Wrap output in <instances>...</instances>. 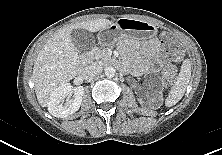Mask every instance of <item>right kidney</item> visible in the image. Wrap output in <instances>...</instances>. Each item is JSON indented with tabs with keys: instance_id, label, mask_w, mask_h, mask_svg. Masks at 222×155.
Listing matches in <instances>:
<instances>
[{
	"instance_id": "right-kidney-1",
	"label": "right kidney",
	"mask_w": 222,
	"mask_h": 155,
	"mask_svg": "<svg viewBox=\"0 0 222 155\" xmlns=\"http://www.w3.org/2000/svg\"><path fill=\"white\" fill-rule=\"evenodd\" d=\"M68 95L72 98L65 100ZM84 96V87H73L70 83H64L56 88L49 99L48 110L57 118H65L79 110Z\"/></svg>"
}]
</instances>
